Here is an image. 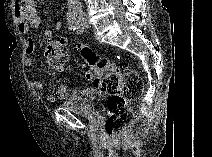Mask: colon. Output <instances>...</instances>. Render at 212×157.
<instances>
[{
	"mask_svg": "<svg viewBox=\"0 0 212 157\" xmlns=\"http://www.w3.org/2000/svg\"><path fill=\"white\" fill-rule=\"evenodd\" d=\"M80 52L88 66L87 78L109 95L105 131L109 137H118L133 120L128 100L140 96L142 80L134 69L119 66L111 59L99 58L87 46L80 47ZM45 59L50 70L62 72L67 60L65 44L62 41L49 43L45 49Z\"/></svg>",
	"mask_w": 212,
	"mask_h": 157,
	"instance_id": "1",
	"label": "colon"
}]
</instances>
